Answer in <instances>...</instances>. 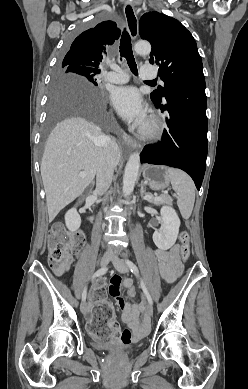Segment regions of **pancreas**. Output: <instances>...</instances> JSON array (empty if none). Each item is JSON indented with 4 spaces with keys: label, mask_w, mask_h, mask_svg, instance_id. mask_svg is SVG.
<instances>
[{
    "label": "pancreas",
    "mask_w": 248,
    "mask_h": 389,
    "mask_svg": "<svg viewBox=\"0 0 248 389\" xmlns=\"http://www.w3.org/2000/svg\"><path fill=\"white\" fill-rule=\"evenodd\" d=\"M161 196L162 198L160 200L152 199L151 201L155 204H160V203L172 204V198L169 195H161Z\"/></svg>",
    "instance_id": "obj_1"
}]
</instances>
